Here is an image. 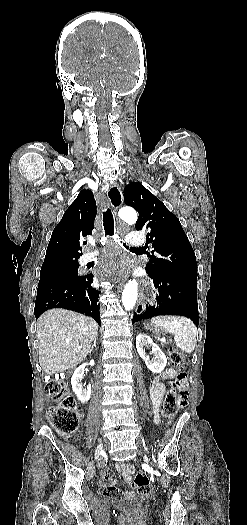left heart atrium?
<instances>
[{
    "label": "left heart atrium",
    "instance_id": "1",
    "mask_svg": "<svg viewBox=\"0 0 247 525\" xmlns=\"http://www.w3.org/2000/svg\"><path fill=\"white\" fill-rule=\"evenodd\" d=\"M99 261H103V272H93L94 276L98 281H106L127 271L131 263V254L124 251L107 249Z\"/></svg>",
    "mask_w": 247,
    "mask_h": 525
}]
</instances>
